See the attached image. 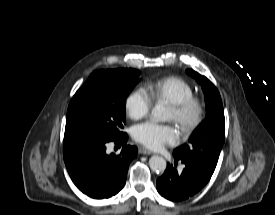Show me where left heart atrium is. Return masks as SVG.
Returning <instances> with one entry per match:
<instances>
[{
  "mask_svg": "<svg viewBox=\"0 0 275 215\" xmlns=\"http://www.w3.org/2000/svg\"><path fill=\"white\" fill-rule=\"evenodd\" d=\"M132 136L135 141L150 149H159L166 144H174L178 140V133L174 126L153 121L135 125Z\"/></svg>",
  "mask_w": 275,
  "mask_h": 215,
  "instance_id": "obj_1",
  "label": "left heart atrium"
}]
</instances>
